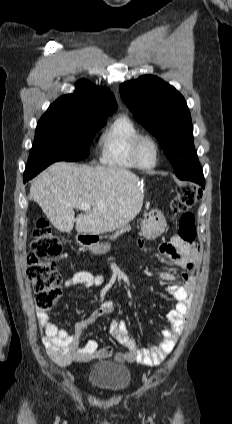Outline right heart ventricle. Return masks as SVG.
I'll use <instances>...</instances> for the list:
<instances>
[{
  "label": "right heart ventricle",
  "mask_w": 232,
  "mask_h": 424,
  "mask_svg": "<svg viewBox=\"0 0 232 424\" xmlns=\"http://www.w3.org/2000/svg\"><path fill=\"white\" fill-rule=\"evenodd\" d=\"M140 134V127L129 115L115 118L100 135V162L114 169L137 168L131 156V148Z\"/></svg>",
  "instance_id": "e07e8e85"
}]
</instances>
